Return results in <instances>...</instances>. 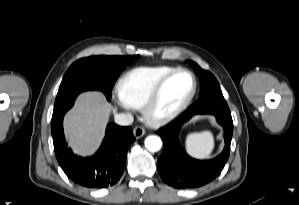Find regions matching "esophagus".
Here are the masks:
<instances>
[{
    "label": "esophagus",
    "mask_w": 299,
    "mask_h": 205,
    "mask_svg": "<svg viewBox=\"0 0 299 205\" xmlns=\"http://www.w3.org/2000/svg\"><path fill=\"white\" fill-rule=\"evenodd\" d=\"M133 134H134L136 139H139L145 134V129L141 126H136L133 129Z\"/></svg>",
    "instance_id": "34e87169"
}]
</instances>
